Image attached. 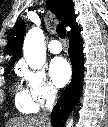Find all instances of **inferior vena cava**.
Segmentation results:
<instances>
[{"instance_id": "inferior-vena-cava-1", "label": "inferior vena cava", "mask_w": 108, "mask_h": 127, "mask_svg": "<svg viewBox=\"0 0 108 127\" xmlns=\"http://www.w3.org/2000/svg\"><path fill=\"white\" fill-rule=\"evenodd\" d=\"M56 89L55 88H50L47 92V101H46V110L49 112L52 110L53 106H54V102H55V97H56ZM41 118L50 124V117L49 114L47 112H43V114L41 115Z\"/></svg>"}]
</instances>
